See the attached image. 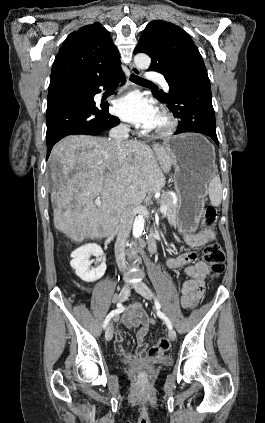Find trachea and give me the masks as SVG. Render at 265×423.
Returning a JSON list of instances; mask_svg holds the SVG:
<instances>
[{
    "label": "trachea",
    "mask_w": 265,
    "mask_h": 423,
    "mask_svg": "<svg viewBox=\"0 0 265 423\" xmlns=\"http://www.w3.org/2000/svg\"><path fill=\"white\" fill-rule=\"evenodd\" d=\"M130 80L132 82L136 83V84H152V82H150V81H148L146 79H143V78H141V77H139L137 75H131L130 76ZM114 85H118V84L116 83Z\"/></svg>",
    "instance_id": "trachea-1"
}]
</instances>
